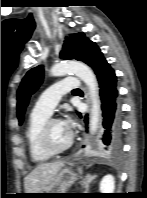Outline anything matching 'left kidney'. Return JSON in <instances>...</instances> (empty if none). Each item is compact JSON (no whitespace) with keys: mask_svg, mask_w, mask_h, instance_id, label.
I'll use <instances>...</instances> for the list:
<instances>
[{"mask_svg":"<svg viewBox=\"0 0 147 198\" xmlns=\"http://www.w3.org/2000/svg\"><path fill=\"white\" fill-rule=\"evenodd\" d=\"M115 180L112 175H106L100 182V192L101 193H114Z\"/></svg>","mask_w":147,"mask_h":198,"instance_id":"5707ae66","label":"left kidney"}]
</instances>
